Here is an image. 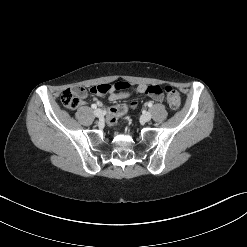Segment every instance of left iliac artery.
Listing matches in <instances>:
<instances>
[{
    "label": "left iliac artery",
    "instance_id": "1",
    "mask_svg": "<svg viewBox=\"0 0 247 247\" xmlns=\"http://www.w3.org/2000/svg\"><path fill=\"white\" fill-rule=\"evenodd\" d=\"M148 107H152V103L151 102H148Z\"/></svg>",
    "mask_w": 247,
    "mask_h": 247
}]
</instances>
